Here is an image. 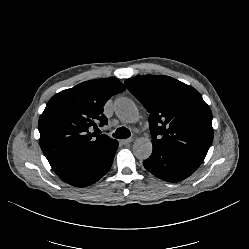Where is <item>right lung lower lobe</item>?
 <instances>
[{
	"mask_svg": "<svg viewBox=\"0 0 249 249\" xmlns=\"http://www.w3.org/2000/svg\"><path fill=\"white\" fill-rule=\"evenodd\" d=\"M117 148L118 141L114 140L88 161L58 176L73 186H89L109 171Z\"/></svg>",
	"mask_w": 249,
	"mask_h": 249,
	"instance_id": "1",
	"label": "right lung lower lobe"
}]
</instances>
